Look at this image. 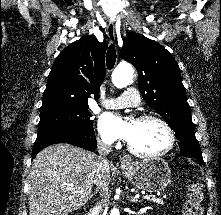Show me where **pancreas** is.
Masks as SVG:
<instances>
[{"mask_svg": "<svg viewBox=\"0 0 221 215\" xmlns=\"http://www.w3.org/2000/svg\"><path fill=\"white\" fill-rule=\"evenodd\" d=\"M149 201H152L156 204H159V205H163L164 204V201L161 200V199H158V198H155V197H151L150 199H148Z\"/></svg>", "mask_w": 221, "mask_h": 215, "instance_id": "pancreas-1", "label": "pancreas"}]
</instances>
